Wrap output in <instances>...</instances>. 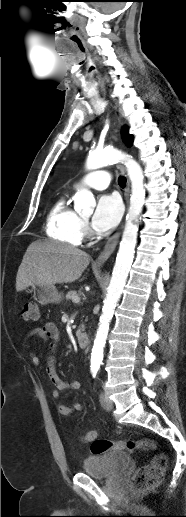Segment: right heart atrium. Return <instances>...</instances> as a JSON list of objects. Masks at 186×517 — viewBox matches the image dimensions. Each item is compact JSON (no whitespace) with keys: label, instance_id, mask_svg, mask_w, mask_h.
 Wrapping results in <instances>:
<instances>
[{"label":"right heart atrium","instance_id":"d8ad5b80","mask_svg":"<svg viewBox=\"0 0 186 517\" xmlns=\"http://www.w3.org/2000/svg\"><path fill=\"white\" fill-rule=\"evenodd\" d=\"M81 229H82L83 235H86L89 233V227L85 221H81Z\"/></svg>","mask_w":186,"mask_h":517}]
</instances>
